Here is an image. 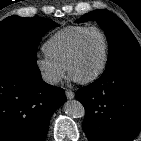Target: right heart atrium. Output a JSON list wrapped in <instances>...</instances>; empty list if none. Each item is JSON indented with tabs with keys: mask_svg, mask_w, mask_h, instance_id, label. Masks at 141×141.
<instances>
[{
	"mask_svg": "<svg viewBox=\"0 0 141 141\" xmlns=\"http://www.w3.org/2000/svg\"><path fill=\"white\" fill-rule=\"evenodd\" d=\"M35 65L42 80L49 85H57L65 75V66L55 62L47 55L38 56Z\"/></svg>",
	"mask_w": 141,
	"mask_h": 141,
	"instance_id": "1",
	"label": "right heart atrium"
}]
</instances>
